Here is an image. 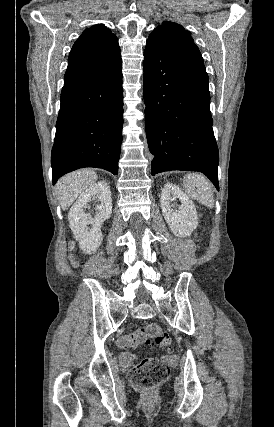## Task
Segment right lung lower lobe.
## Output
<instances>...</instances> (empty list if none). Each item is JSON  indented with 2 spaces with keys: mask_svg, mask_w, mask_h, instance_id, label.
Returning a JSON list of instances; mask_svg holds the SVG:
<instances>
[{
  "mask_svg": "<svg viewBox=\"0 0 274 427\" xmlns=\"http://www.w3.org/2000/svg\"><path fill=\"white\" fill-rule=\"evenodd\" d=\"M121 63L63 87L51 155L53 184L83 167L118 173L123 126Z\"/></svg>",
  "mask_w": 274,
  "mask_h": 427,
  "instance_id": "right-lung-lower-lobe-1",
  "label": "right lung lower lobe"
}]
</instances>
